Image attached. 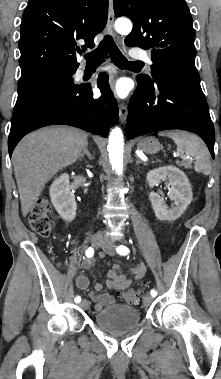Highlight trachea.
<instances>
[{
    "mask_svg": "<svg viewBox=\"0 0 221 379\" xmlns=\"http://www.w3.org/2000/svg\"><path fill=\"white\" fill-rule=\"evenodd\" d=\"M109 54L112 62L119 68H128L133 65L142 64L140 61L129 62L121 53L110 35H105L98 49L85 55L87 65H100Z\"/></svg>",
    "mask_w": 221,
    "mask_h": 379,
    "instance_id": "1",
    "label": "trachea"
}]
</instances>
